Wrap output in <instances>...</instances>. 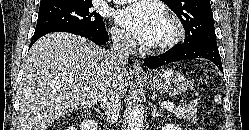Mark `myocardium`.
I'll list each match as a JSON object with an SVG mask.
<instances>
[{
    "mask_svg": "<svg viewBox=\"0 0 249 130\" xmlns=\"http://www.w3.org/2000/svg\"><path fill=\"white\" fill-rule=\"evenodd\" d=\"M165 21L171 27V34L164 40L155 44V52L167 51L180 43L185 37L184 26L178 17L174 15H167Z\"/></svg>",
    "mask_w": 249,
    "mask_h": 130,
    "instance_id": "1",
    "label": "myocardium"
}]
</instances>
